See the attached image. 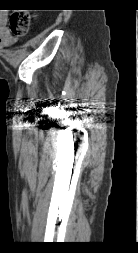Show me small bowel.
<instances>
[{"label":"small bowel","mask_w":138,"mask_h":253,"mask_svg":"<svg viewBox=\"0 0 138 253\" xmlns=\"http://www.w3.org/2000/svg\"><path fill=\"white\" fill-rule=\"evenodd\" d=\"M14 42L10 29L7 26V17L0 14V48H6Z\"/></svg>","instance_id":"1"}]
</instances>
